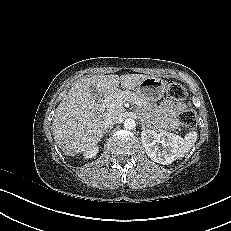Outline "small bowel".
I'll return each instance as SVG.
<instances>
[{
  "label": "small bowel",
  "mask_w": 231,
  "mask_h": 231,
  "mask_svg": "<svg viewBox=\"0 0 231 231\" xmlns=\"http://www.w3.org/2000/svg\"><path fill=\"white\" fill-rule=\"evenodd\" d=\"M186 108L183 103H174L166 101L159 109L160 117L166 126L173 127L176 125L178 115Z\"/></svg>",
  "instance_id": "obj_1"
}]
</instances>
